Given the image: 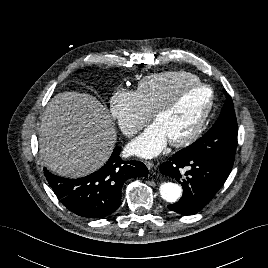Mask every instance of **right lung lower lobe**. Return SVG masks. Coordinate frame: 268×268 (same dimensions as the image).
Here are the masks:
<instances>
[{"label":"right lung lower lobe","mask_w":268,"mask_h":268,"mask_svg":"<svg viewBox=\"0 0 268 268\" xmlns=\"http://www.w3.org/2000/svg\"><path fill=\"white\" fill-rule=\"evenodd\" d=\"M116 147L107 163L98 171L78 179H66L44 174L60 202L71 212L87 218H102L118 209L121 188L133 177H143L148 169L142 162L123 161Z\"/></svg>","instance_id":"98d812e1"}]
</instances>
